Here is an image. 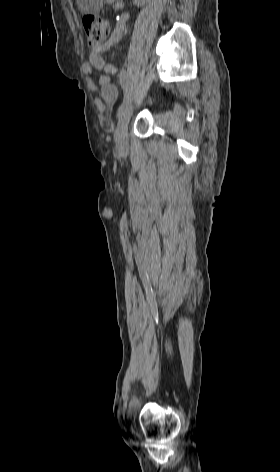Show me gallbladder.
I'll return each instance as SVG.
<instances>
[{
	"label": "gallbladder",
	"mask_w": 280,
	"mask_h": 472,
	"mask_svg": "<svg viewBox=\"0 0 280 472\" xmlns=\"http://www.w3.org/2000/svg\"><path fill=\"white\" fill-rule=\"evenodd\" d=\"M76 2L82 14H97L103 5V0H76Z\"/></svg>",
	"instance_id": "obj_1"
}]
</instances>
